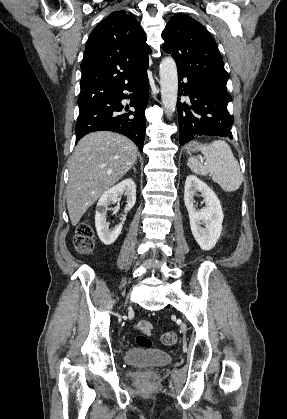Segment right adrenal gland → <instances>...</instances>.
I'll use <instances>...</instances> for the list:
<instances>
[{"instance_id":"obj_1","label":"right adrenal gland","mask_w":287,"mask_h":419,"mask_svg":"<svg viewBox=\"0 0 287 419\" xmlns=\"http://www.w3.org/2000/svg\"><path fill=\"white\" fill-rule=\"evenodd\" d=\"M132 170H134V172H136V169H135V167H134V166L132 167Z\"/></svg>"}]
</instances>
